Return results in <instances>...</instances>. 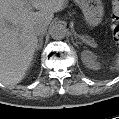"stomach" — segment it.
I'll return each mask as SVG.
<instances>
[{"label": "stomach", "instance_id": "obj_1", "mask_svg": "<svg viewBox=\"0 0 119 119\" xmlns=\"http://www.w3.org/2000/svg\"><path fill=\"white\" fill-rule=\"evenodd\" d=\"M81 7L85 21L91 27L97 26L103 19L104 7L101 0H75Z\"/></svg>", "mask_w": 119, "mask_h": 119}]
</instances>
